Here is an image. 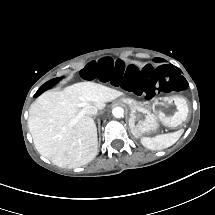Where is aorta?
I'll use <instances>...</instances> for the list:
<instances>
[{"label": "aorta", "mask_w": 215, "mask_h": 215, "mask_svg": "<svg viewBox=\"0 0 215 215\" xmlns=\"http://www.w3.org/2000/svg\"><path fill=\"white\" fill-rule=\"evenodd\" d=\"M112 114H113L114 117L120 118L124 114V109L122 107H115L112 110Z\"/></svg>", "instance_id": "obj_1"}]
</instances>
